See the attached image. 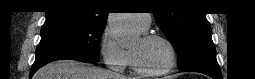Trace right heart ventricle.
I'll return each instance as SVG.
<instances>
[{"mask_svg": "<svg viewBox=\"0 0 255 79\" xmlns=\"http://www.w3.org/2000/svg\"><path fill=\"white\" fill-rule=\"evenodd\" d=\"M129 58H130V60H129V64H131V55L129 54Z\"/></svg>", "mask_w": 255, "mask_h": 79, "instance_id": "1", "label": "right heart ventricle"}]
</instances>
